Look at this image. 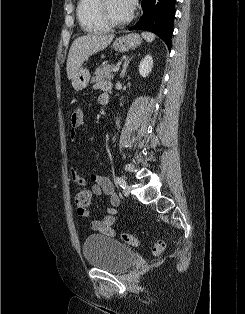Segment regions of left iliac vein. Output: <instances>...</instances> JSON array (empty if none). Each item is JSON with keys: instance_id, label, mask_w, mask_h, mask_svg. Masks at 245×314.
<instances>
[{"instance_id": "4c4485c4", "label": "left iliac vein", "mask_w": 245, "mask_h": 314, "mask_svg": "<svg viewBox=\"0 0 245 314\" xmlns=\"http://www.w3.org/2000/svg\"><path fill=\"white\" fill-rule=\"evenodd\" d=\"M123 192H124V195L126 197H128L130 195V192H131V187L129 185H126Z\"/></svg>"}]
</instances>
